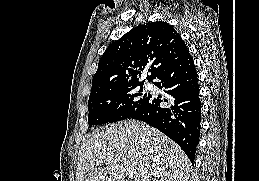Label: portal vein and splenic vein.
Segmentation results:
<instances>
[{"mask_svg": "<svg viewBox=\"0 0 259 181\" xmlns=\"http://www.w3.org/2000/svg\"><path fill=\"white\" fill-rule=\"evenodd\" d=\"M127 172L130 176H133L136 171L134 169H128Z\"/></svg>", "mask_w": 259, "mask_h": 181, "instance_id": "obj_1", "label": "portal vein and splenic vein"}]
</instances>
